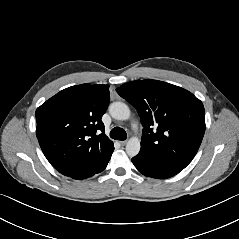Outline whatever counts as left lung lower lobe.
Instances as JSON below:
<instances>
[{
    "label": "left lung lower lobe",
    "mask_w": 239,
    "mask_h": 239,
    "mask_svg": "<svg viewBox=\"0 0 239 239\" xmlns=\"http://www.w3.org/2000/svg\"><path fill=\"white\" fill-rule=\"evenodd\" d=\"M132 162L138 171L143 175L158 179L172 177L182 170L181 168L169 165L153 158L145 157L141 154L133 157Z\"/></svg>",
    "instance_id": "obj_1"
}]
</instances>
